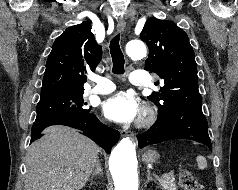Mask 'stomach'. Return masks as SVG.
<instances>
[{
	"label": "stomach",
	"instance_id": "1",
	"mask_svg": "<svg viewBox=\"0 0 238 190\" xmlns=\"http://www.w3.org/2000/svg\"><path fill=\"white\" fill-rule=\"evenodd\" d=\"M160 158V155L157 151L148 149L142 154V161L144 163H156Z\"/></svg>",
	"mask_w": 238,
	"mask_h": 190
}]
</instances>
